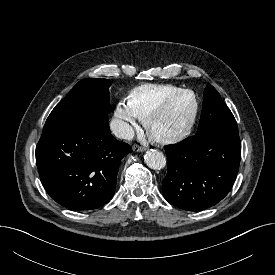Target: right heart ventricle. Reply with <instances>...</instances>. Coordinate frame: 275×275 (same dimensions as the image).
Returning a JSON list of instances; mask_svg holds the SVG:
<instances>
[{"instance_id": "obj_1", "label": "right heart ventricle", "mask_w": 275, "mask_h": 275, "mask_svg": "<svg viewBox=\"0 0 275 275\" xmlns=\"http://www.w3.org/2000/svg\"><path fill=\"white\" fill-rule=\"evenodd\" d=\"M178 89L180 87L172 84H141L129 92L127 104L138 118L144 119L159 102Z\"/></svg>"}]
</instances>
